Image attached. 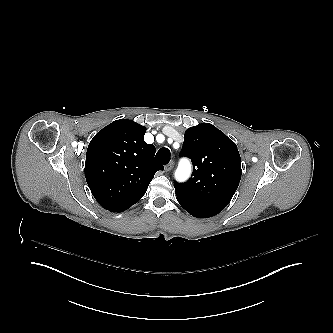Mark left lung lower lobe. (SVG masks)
<instances>
[{
    "instance_id": "left-lung-lower-lobe-1",
    "label": "left lung lower lobe",
    "mask_w": 333,
    "mask_h": 333,
    "mask_svg": "<svg viewBox=\"0 0 333 333\" xmlns=\"http://www.w3.org/2000/svg\"><path fill=\"white\" fill-rule=\"evenodd\" d=\"M187 212H189L191 215L197 218H208L211 216L216 215L217 213L211 212V211H206L202 209H198L192 206H188L185 204H180Z\"/></svg>"
}]
</instances>
